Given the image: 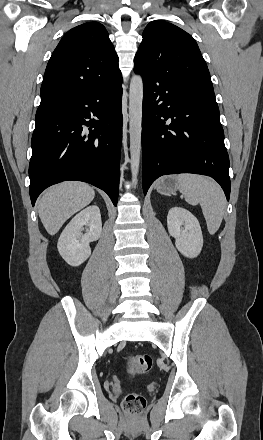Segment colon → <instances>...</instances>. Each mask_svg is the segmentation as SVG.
<instances>
[{
	"label": "colon",
	"instance_id": "obj_1",
	"mask_svg": "<svg viewBox=\"0 0 263 440\" xmlns=\"http://www.w3.org/2000/svg\"><path fill=\"white\" fill-rule=\"evenodd\" d=\"M152 365L153 359L149 354H132L127 358L126 371L131 376L142 375L147 373ZM122 406L129 414H139L146 407V399L139 393H128L123 399Z\"/></svg>",
	"mask_w": 263,
	"mask_h": 440
}]
</instances>
